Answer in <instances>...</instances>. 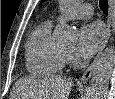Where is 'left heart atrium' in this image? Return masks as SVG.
Segmentation results:
<instances>
[{
    "instance_id": "39dd6f15",
    "label": "left heart atrium",
    "mask_w": 115,
    "mask_h": 99,
    "mask_svg": "<svg viewBox=\"0 0 115 99\" xmlns=\"http://www.w3.org/2000/svg\"><path fill=\"white\" fill-rule=\"evenodd\" d=\"M106 37L103 25L92 22L84 25L79 32L76 55L80 59H88L101 48Z\"/></svg>"
}]
</instances>
